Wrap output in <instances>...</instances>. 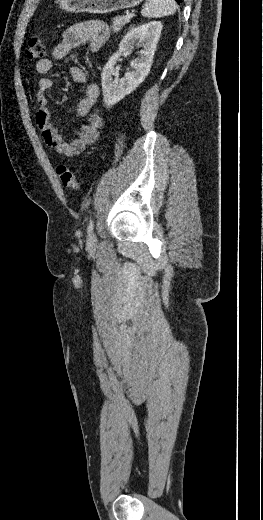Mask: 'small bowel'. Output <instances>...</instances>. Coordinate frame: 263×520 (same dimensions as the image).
Returning a JSON list of instances; mask_svg holds the SVG:
<instances>
[{
  "label": "small bowel",
  "instance_id": "small-bowel-1",
  "mask_svg": "<svg viewBox=\"0 0 263 520\" xmlns=\"http://www.w3.org/2000/svg\"><path fill=\"white\" fill-rule=\"evenodd\" d=\"M108 35L109 28L102 21L75 24L63 33L61 42L53 48L52 57L55 60L64 59L74 49L81 46H87L92 52H96L106 42ZM52 65V61L47 58L40 59L35 65L36 73L40 76L35 92L37 104L35 123L47 146L67 157L77 156L87 146L97 141L100 129L103 126L102 117L91 113L97 102L99 89L95 83L87 81V76L80 67L72 66L70 68L73 80L76 83L85 85L83 95L76 106V114L80 117H86L87 122L80 128L75 138L67 140L50 121L51 114L48 107L47 93L52 88L53 82L47 74L50 72Z\"/></svg>",
  "mask_w": 263,
  "mask_h": 520
}]
</instances>
